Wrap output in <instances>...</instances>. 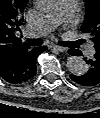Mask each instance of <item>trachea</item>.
<instances>
[{"instance_id": "1", "label": "trachea", "mask_w": 100, "mask_h": 118, "mask_svg": "<svg viewBox=\"0 0 100 118\" xmlns=\"http://www.w3.org/2000/svg\"><path fill=\"white\" fill-rule=\"evenodd\" d=\"M28 42L31 46H39V45L43 44V40H41V39H30V40H28Z\"/></svg>"}]
</instances>
